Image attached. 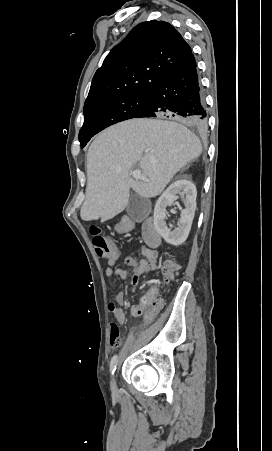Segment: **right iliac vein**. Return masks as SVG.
<instances>
[{"label":"right iliac vein","mask_w":272,"mask_h":451,"mask_svg":"<svg viewBox=\"0 0 272 451\" xmlns=\"http://www.w3.org/2000/svg\"><path fill=\"white\" fill-rule=\"evenodd\" d=\"M111 388H112L113 391H115V389H116L114 377H112Z\"/></svg>","instance_id":"obj_1"}]
</instances>
